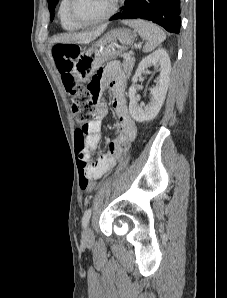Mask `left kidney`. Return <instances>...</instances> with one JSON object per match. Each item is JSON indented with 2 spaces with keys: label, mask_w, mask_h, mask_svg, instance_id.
<instances>
[{
  "label": "left kidney",
  "mask_w": 227,
  "mask_h": 298,
  "mask_svg": "<svg viewBox=\"0 0 227 298\" xmlns=\"http://www.w3.org/2000/svg\"><path fill=\"white\" fill-rule=\"evenodd\" d=\"M159 67V76L156 86L151 89V100L146 106L138 105L136 98V85L141 73L148 67ZM171 72L170 57L164 49H158L148 55L139 63L135 75L132 77V85L129 88V111L134 120L144 122L151 120L159 113L167 93L169 75Z\"/></svg>",
  "instance_id": "5707ae66"
}]
</instances>
